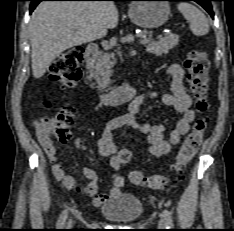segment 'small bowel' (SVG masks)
Here are the masks:
<instances>
[{
	"label": "small bowel",
	"instance_id": "obj_1",
	"mask_svg": "<svg viewBox=\"0 0 234 231\" xmlns=\"http://www.w3.org/2000/svg\"><path fill=\"white\" fill-rule=\"evenodd\" d=\"M167 75L171 79V93L160 95L155 92H146L139 95L129 104L128 113L114 117L107 122L102 135L97 140L99 154L109 160V166L113 171L111 175L113 185L107 193H99L98 175L92 169H82V175L88 181L85 185H80L73 176L66 175L61 165L56 162L55 148L47 137V132L51 128L52 123L35 121L40 142L47 157L53 163L52 172L64 188L75 190L84 196L93 198L95 206H101L121 193L122 188L126 185V179L118 173L121 162L118 156V147L113 136V132L121 127L127 126L133 131L146 136L147 149L155 157L168 154L173 146L179 144L181 137L189 132L195 115L191 109L192 100L187 94L183 83L184 71L181 66L179 64H171L167 68ZM148 99H158L180 113V118L168 137L165 136L166 127L164 124H150L142 122L136 117L141 105ZM77 144L80 146L81 141H77Z\"/></svg>",
	"mask_w": 234,
	"mask_h": 231
}]
</instances>
